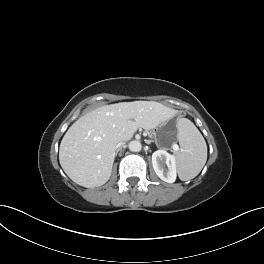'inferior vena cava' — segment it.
Segmentation results:
<instances>
[{
  "mask_svg": "<svg viewBox=\"0 0 264 264\" xmlns=\"http://www.w3.org/2000/svg\"><path fill=\"white\" fill-rule=\"evenodd\" d=\"M122 145H123V141H119V142H117V144H116V149L119 148V147H121Z\"/></svg>",
  "mask_w": 264,
  "mask_h": 264,
  "instance_id": "1",
  "label": "inferior vena cava"
}]
</instances>
